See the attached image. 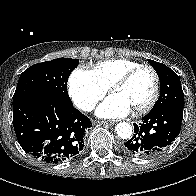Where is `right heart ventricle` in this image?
Returning a JSON list of instances; mask_svg holds the SVG:
<instances>
[{
	"label": "right heart ventricle",
	"mask_w": 196,
	"mask_h": 196,
	"mask_svg": "<svg viewBox=\"0 0 196 196\" xmlns=\"http://www.w3.org/2000/svg\"><path fill=\"white\" fill-rule=\"evenodd\" d=\"M139 65L141 64L133 60L115 58L98 62L91 72L105 89H109L115 80Z\"/></svg>",
	"instance_id": "e07e8e85"
}]
</instances>
